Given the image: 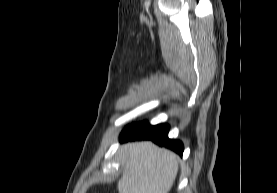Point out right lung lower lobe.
<instances>
[{
    "label": "right lung lower lobe",
    "mask_w": 277,
    "mask_h": 193,
    "mask_svg": "<svg viewBox=\"0 0 277 193\" xmlns=\"http://www.w3.org/2000/svg\"><path fill=\"white\" fill-rule=\"evenodd\" d=\"M169 126L160 124L152 126L147 122L127 126L120 134L121 141L150 139L160 146L172 149L176 153L183 154V144L177 140L168 138Z\"/></svg>",
    "instance_id": "right-lung-lower-lobe-1"
}]
</instances>
